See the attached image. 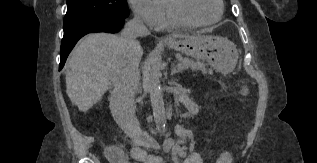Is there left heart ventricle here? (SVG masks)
I'll list each match as a JSON object with an SVG mask.
<instances>
[{
    "label": "left heart ventricle",
    "instance_id": "1",
    "mask_svg": "<svg viewBox=\"0 0 317 163\" xmlns=\"http://www.w3.org/2000/svg\"><path fill=\"white\" fill-rule=\"evenodd\" d=\"M179 8L182 14L195 21H208L219 14L217 0H180Z\"/></svg>",
    "mask_w": 317,
    "mask_h": 163
}]
</instances>
